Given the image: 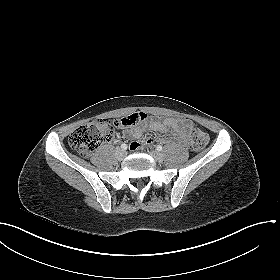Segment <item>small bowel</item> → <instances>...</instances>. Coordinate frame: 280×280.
<instances>
[{"mask_svg": "<svg viewBox=\"0 0 280 280\" xmlns=\"http://www.w3.org/2000/svg\"><path fill=\"white\" fill-rule=\"evenodd\" d=\"M193 122L189 119L178 117H167L164 119L145 118L142 123L135 125L130 130L125 131L124 135L138 139L142 137L144 129L148 128L155 131H170L172 135L178 139H183L192 129ZM155 142L153 137L145 140L144 145L151 146Z\"/></svg>", "mask_w": 280, "mask_h": 280, "instance_id": "small-bowel-1", "label": "small bowel"}]
</instances>
